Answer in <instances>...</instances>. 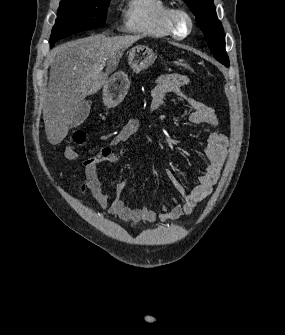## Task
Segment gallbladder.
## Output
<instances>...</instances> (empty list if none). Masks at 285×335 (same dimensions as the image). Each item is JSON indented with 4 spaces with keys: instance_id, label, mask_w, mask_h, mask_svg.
Masks as SVG:
<instances>
[{
    "instance_id": "gallbladder-1",
    "label": "gallbladder",
    "mask_w": 285,
    "mask_h": 335,
    "mask_svg": "<svg viewBox=\"0 0 285 335\" xmlns=\"http://www.w3.org/2000/svg\"><path fill=\"white\" fill-rule=\"evenodd\" d=\"M90 110L91 108L89 102H80L73 116V122L71 124L72 128H76V126H80V124H83L84 120L88 118Z\"/></svg>"
}]
</instances>
